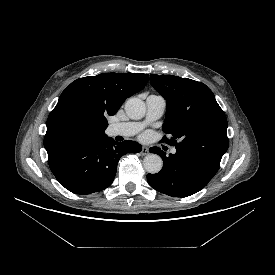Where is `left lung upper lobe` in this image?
<instances>
[{
    "label": "left lung upper lobe",
    "mask_w": 275,
    "mask_h": 275,
    "mask_svg": "<svg viewBox=\"0 0 275 275\" xmlns=\"http://www.w3.org/2000/svg\"><path fill=\"white\" fill-rule=\"evenodd\" d=\"M150 83L167 102L163 131L172 136L167 142L219 166L229 145L228 124L212 91L201 82L173 75L151 74Z\"/></svg>",
    "instance_id": "left-lung-upper-lobe-1"
}]
</instances>
